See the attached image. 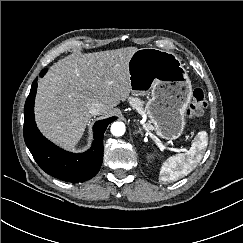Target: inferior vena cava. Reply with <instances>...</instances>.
I'll return each mask as SVG.
<instances>
[{
	"mask_svg": "<svg viewBox=\"0 0 243 243\" xmlns=\"http://www.w3.org/2000/svg\"><path fill=\"white\" fill-rule=\"evenodd\" d=\"M104 110V104L98 101H93L89 105V112L92 115H100Z\"/></svg>",
	"mask_w": 243,
	"mask_h": 243,
	"instance_id": "obj_1",
	"label": "inferior vena cava"
}]
</instances>
